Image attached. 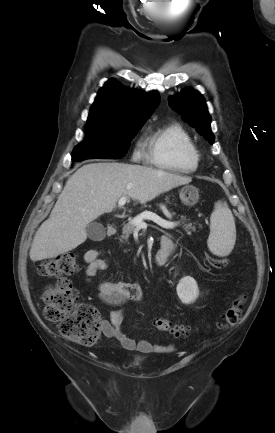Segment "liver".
<instances>
[{"mask_svg": "<svg viewBox=\"0 0 275 433\" xmlns=\"http://www.w3.org/2000/svg\"><path fill=\"white\" fill-rule=\"evenodd\" d=\"M191 181L190 177L142 165H84L67 180L49 218L37 230L30 259L35 262L54 258L84 243L87 225L112 212L122 197L145 204Z\"/></svg>", "mask_w": 275, "mask_h": 433, "instance_id": "1", "label": "liver"}]
</instances>
